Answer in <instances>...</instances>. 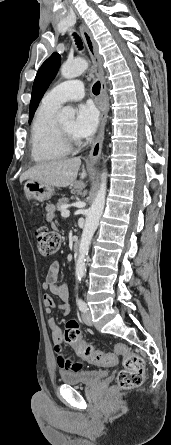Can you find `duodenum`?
<instances>
[{"label":"duodenum","instance_id":"1","mask_svg":"<svg viewBox=\"0 0 171 445\" xmlns=\"http://www.w3.org/2000/svg\"><path fill=\"white\" fill-rule=\"evenodd\" d=\"M81 247V243L80 240L78 238H76L73 242V248L74 250L78 251Z\"/></svg>","mask_w":171,"mask_h":445}]
</instances>
